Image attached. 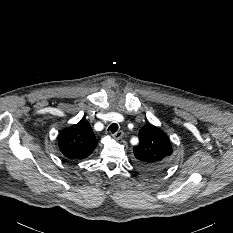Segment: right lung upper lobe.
<instances>
[{"instance_id":"right-lung-upper-lobe-1","label":"right lung upper lobe","mask_w":233,"mask_h":233,"mask_svg":"<svg viewBox=\"0 0 233 233\" xmlns=\"http://www.w3.org/2000/svg\"><path fill=\"white\" fill-rule=\"evenodd\" d=\"M97 140L86 121L72 125L61 131L58 146L62 154L69 159L88 157L96 148Z\"/></svg>"}]
</instances>
